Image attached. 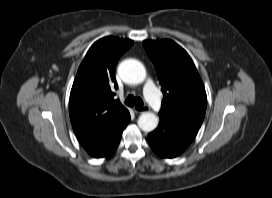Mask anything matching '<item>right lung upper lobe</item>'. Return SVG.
Masks as SVG:
<instances>
[{
    "mask_svg": "<svg viewBox=\"0 0 272 198\" xmlns=\"http://www.w3.org/2000/svg\"><path fill=\"white\" fill-rule=\"evenodd\" d=\"M132 40L113 36L95 42L88 50L74 80L69 100L72 127L86 146L99 138L128 110L115 100V67Z\"/></svg>",
    "mask_w": 272,
    "mask_h": 198,
    "instance_id": "obj_1",
    "label": "right lung upper lobe"
}]
</instances>
